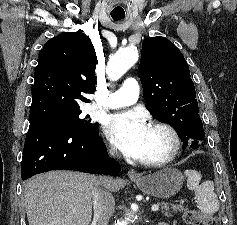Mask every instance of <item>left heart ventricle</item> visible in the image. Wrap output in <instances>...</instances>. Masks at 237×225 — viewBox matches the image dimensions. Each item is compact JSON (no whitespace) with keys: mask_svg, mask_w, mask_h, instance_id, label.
<instances>
[{"mask_svg":"<svg viewBox=\"0 0 237 225\" xmlns=\"http://www.w3.org/2000/svg\"><path fill=\"white\" fill-rule=\"evenodd\" d=\"M170 145V139L164 132L148 127L141 159L160 158L169 151Z\"/></svg>","mask_w":237,"mask_h":225,"instance_id":"b2bd125f","label":"left heart ventricle"}]
</instances>
